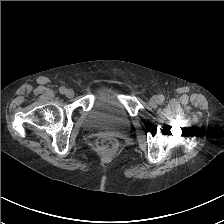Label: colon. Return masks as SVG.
I'll list each match as a JSON object with an SVG mask.
<instances>
[{
	"label": "colon",
	"mask_w": 224,
	"mask_h": 224,
	"mask_svg": "<svg viewBox=\"0 0 224 224\" xmlns=\"http://www.w3.org/2000/svg\"><path fill=\"white\" fill-rule=\"evenodd\" d=\"M98 145L103 150H114L116 148V142L112 138L102 137L98 140Z\"/></svg>",
	"instance_id": "5ec220e1"
}]
</instances>
